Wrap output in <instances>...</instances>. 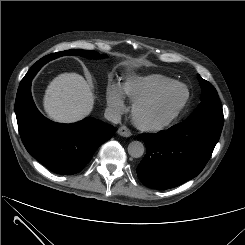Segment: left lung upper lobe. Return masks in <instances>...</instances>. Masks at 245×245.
Listing matches in <instances>:
<instances>
[{"mask_svg": "<svg viewBox=\"0 0 245 245\" xmlns=\"http://www.w3.org/2000/svg\"><path fill=\"white\" fill-rule=\"evenodd\" d=\"M198 80L202 87L201 103L185 121H208L223 126V110L216 89L200 75Z\"/></svg>", "mask_w": 245, "mask_h": 245, "instance_id": "1", "label": "left lung upper lobe"}]
</instances>
